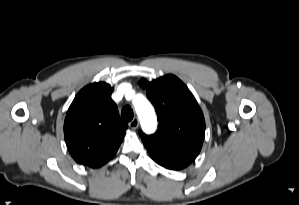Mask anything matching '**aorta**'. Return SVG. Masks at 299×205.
Returning <instances> with one entry per match:
<instances>
[{
	"instance_id": "obj_1",
	"label": "aorta",
	"mask_w": 299,
	"mask_h": 205,
	"mask_svg": "<svg viewBox=\"0 0 299 205\" xmlns=\"http://www.w3.org/2000/svg\"><path fill=\"white\" fill-rule=\"evenodd\" d=\"M135 109L143 130L146 133L154 132L157 126V120L152 105L144 98H141L140 101L135 103Z\"/></svg>"
}]
</instances>
